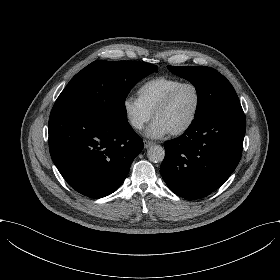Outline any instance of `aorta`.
Returning <instances> with one entry per match:
<instances>
[{"instance_id": "aorta-1", "label": "aorta", "mask_w": 280, "mask_h": 280, "mask_svg": "<svg viewBox=\"0 0 280 280\" xmlns=\"http://www.w3.org/2000/svg\"><path fill=\"white\" fill-rule=\"evenodd\" d=\"M147 157L151 162H162L165 157V150L160 145H153L148 149Z\"/></svg>"}]
</instances>
